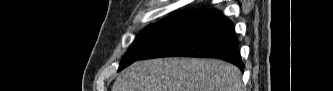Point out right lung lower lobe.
Returning a JSON list of instances; mask_svg holds the SVG:
<instances>
[{
	"instance_id": "obj_1",
	"label": "right lung lower lobe",
	"mask_w": 333,
	"mask_h": 91,
	"mask_svg": "<svg viewBox=\"0 0 333 91\" xmlns=\"http://www.w3.org/2000/svg\"><path fill=\"white\" fill-rule=\"evenodd\" d=\"M172 56L218 58L244 69L233 24L215 11L189 20L139 60Z\"/></svg>"
}]
</instances>
